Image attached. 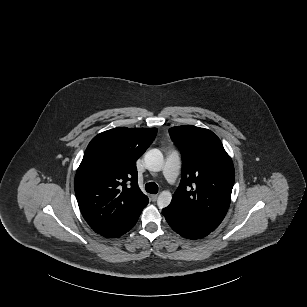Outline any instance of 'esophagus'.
Listing matches in <instances>:
<instances>
[{"label":"esophagus","instance_id":"34e87169","mask_svg":"<svg viewBox=\"0 0 307 307\" xmlns=\"http://www.w3.org/2000/svg\"><path fill=\"white\" fill-rule=\"evenodd\" d=\"M158 195L157 194H151L150 198L152 200V202H155L157 200Z\"/></svg>","mask_w":307,"mask_h":307}]
</instances>
